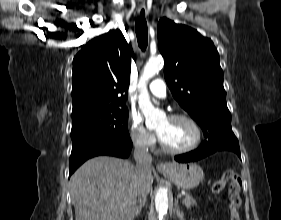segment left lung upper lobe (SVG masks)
<instances>
[{"instance_id": "5c2ea615", "label": "left lung upper lobe", "mask_w": 281, "mask_h": 220, "mask_svg": "<svg viewBox=\"0 0 281 220\" xmlns=\"http://www.w3.org/2000/svg\"><path fill=\"white\" fill-rule=\"evenodd\" d=\"M158 48L172 95L201 126L208 142H238L226 104L219 54L211 39L162 18L158 23Z\"/></svg>"}]
</instances>
